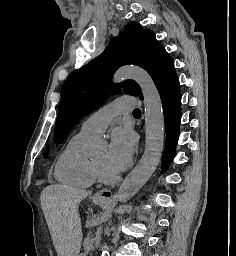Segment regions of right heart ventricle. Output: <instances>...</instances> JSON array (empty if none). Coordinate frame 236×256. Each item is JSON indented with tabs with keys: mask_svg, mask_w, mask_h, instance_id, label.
<instances>
[{
	"mask_svg": "<svg viewBox=\"0 0 236 256\" xmlns=\"http://www.w3.org/2000/svg\"><path fill=\"white\" fill-rule=\"evenodd\" d=\"M91 137L79 132L70 139L55 165L57 182L76 188H89L95 183L92 162L83 154L84 144Z\"/></svg>",
	"mask_w": 236,
	"mask_h": 256,
	"instance_id": "e07e8e85",
	"label": "right heart ventricle"
}]
</instances>
